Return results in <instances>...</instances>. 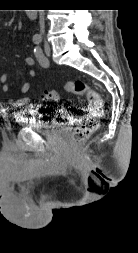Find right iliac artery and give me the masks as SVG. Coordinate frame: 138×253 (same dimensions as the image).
<instances>
[{
  "label": "right iliac artery",
  "instance_id": "right-iliac-artery-1",
  "mask_svg": "<svg viewBox=\"0 0 138 253\" xmlns=\"http://www.w3.org/2000/svg\"><path fill=\"white\" fill-rule=\"evenodd\" d=\"M33 42H34L35 44H39V43L41 42V37H40V36H34V37H33Z\"/></svg>",
  "mask_w": 138,
  "mask_h": 253
}]
</instances>
